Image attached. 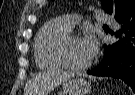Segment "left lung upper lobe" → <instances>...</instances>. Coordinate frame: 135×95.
<instances>
[{
    "mask_svg": "<svg viewBox=\"0 0 135 95\" xmlns=\"http://www.w3.org/2000/svg\"><path fill=\"white\" fill-rule=\"evenodd\" d=\"M103 9L118 20L135 10V0H103Z\"/></svg>",
    "mask_w": 135,
    "mask_h": 95,
    "instance_id": "left-lung-upper-lobe-1",
    "label": "left lung upper lobe"
}]
</instances>
